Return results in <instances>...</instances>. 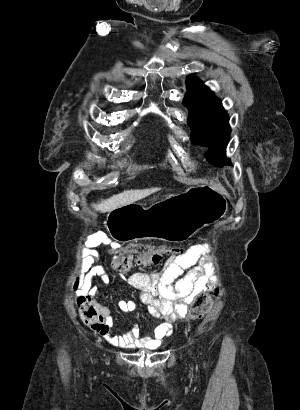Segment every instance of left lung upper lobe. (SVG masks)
<instances>
[{"instance_id": "left-lung-upper-lobe-1", "label": "left lung upper lobe", "mask_w": 300, "mask_h": 410, "mask_svg": "<svg viewBox=\"0 0 300 410\" xmlns=\"http://www.w3.org/2000/svg\"><path fill=\"white\" fill-rule=\"evenodd\" d=\"M188 95L184 104L188 106V123L192 128L191 141L209 146L205 157L214 165L230 164L225 152L231 129L228 114L212 91L196 77L187 80Z\"/></svg>"}]
</instances>
